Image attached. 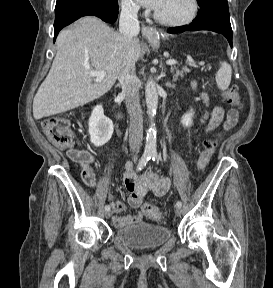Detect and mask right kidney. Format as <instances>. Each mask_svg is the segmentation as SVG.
Returning a JSON list of instances; mask_svg holds the SVG:
<instances>
[{"label":"right kidney","mask_w":273,"mask_h":288,"mask_svg":"<svg viewBox=\"0 0 273 288\" xmlns=\"http://www.w3.org/2000/svg\"><path fill=\"white\" fill-rule=\"evenodd\" d=\"M113 122L104 115V110L101 105L94 107L89 118V134L91 142L96 147L106 144L113 134Z\"/></svg>","instance_id":"ca27d5eb"}]
</instances>
